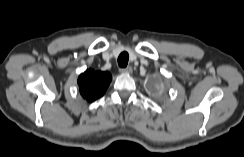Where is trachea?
Here are the masks:
<instances>
[{
    "label": "trachea",
    "mask_w": 244,
    "mask_h": 157,
    "mask_svg": "<svg viewBox=\"0 0 244 157\" xmlns=\"http://www.w3.org/2000/svg\"><path fill=\"white\" fill-rule=\"evenodd\" d=\"M129 55L126 52H122L118 57V64L120 67L125 68L128 64Z\"/></svg>",
    "instance_id": "3493384b"
}]
</instances>
